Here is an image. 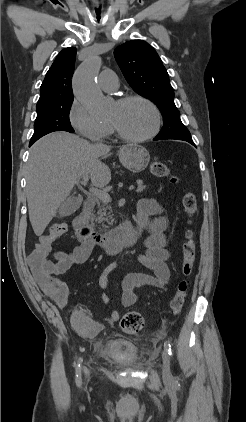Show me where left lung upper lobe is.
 Masks as SVG:
<instances>
[{
	"instance_id": "left-lung-upper-lobe-1",
	"label": "left lung upper lobe",
	"mask_w": 246,
	"mask_h": 422,
	"mask_svg": "<svg viewBox=\"0 0 246 422\" xmlns=\"http://www.w3.org/2000/svg\"><path fill=\"white\" fill-rule=\"evenodd\" d=\"M114 56L132 89L154 102L162 113L164 125L156 138L192 139L175 106L167 70L154 48L143 40H131L118 46Z\"/></svg>"
}]
</instances>
